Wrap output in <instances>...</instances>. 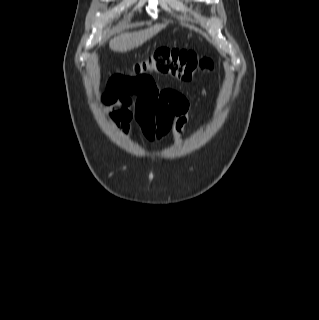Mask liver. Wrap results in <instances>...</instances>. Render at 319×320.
<instances>
[{
	"mask_svg": "<svg viewBox=\"0 0 319 320\" xmlns=\"http://www.w3.org/2000/svg\"><path fill=\"white\" fill-rule=\"evenodd\" d=\"M165 27L166 24H157L144 30L121 33L110 40L109 47L115 52L130 51L144 44Z\"/></svg>",
	"mask_w": 319,
	"mask_h": 320,
	"instance_id": "obj_1",
	"label": "liver"
}]
</instances>
